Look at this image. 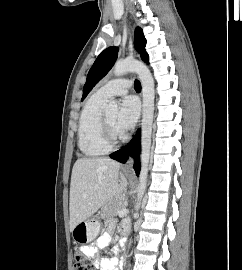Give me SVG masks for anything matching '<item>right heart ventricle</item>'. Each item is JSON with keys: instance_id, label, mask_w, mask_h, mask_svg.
<instances>
[{"instance_id": "1", "label": "right heart ventricle", "mask_w": 242, "mask_h": 270, "mask_svg": "<svg viewBox=\"0 0 242 270\" xmlns=\"http://www.w3.org/2000/svg\"><path fill=\"white\" fill-rule=\"evenodd\" d=\"M105 99L95 94L86 102L79 120L78 146L89 157L104 155L110 149L104 144L101 132V119Z\"/></svg>"}]
</instances>
